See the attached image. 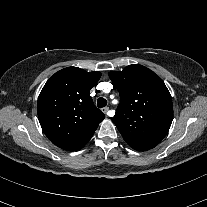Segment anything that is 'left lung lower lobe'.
<instances>
[{"mask_svg":"<svg viewBox=\"0 0 207 207\" xmlns=\"http://www.w3.org/2000/svg\"><path fill=\"white\" fill-rule=\"evenodd\" d=\"M134 148V147H132ZM135 150H138V151H145L146 149H140V148H134Z\"/></svg>","mask_w":207,"mask_h":207,"instance_id":"left-lung-lower-lobe-1","label":"left lung lower lobe"}]
</instances>
